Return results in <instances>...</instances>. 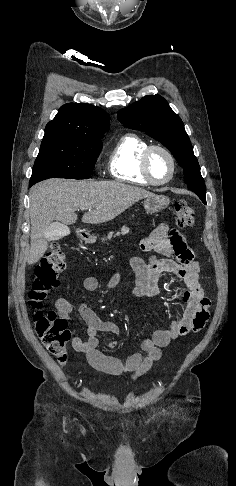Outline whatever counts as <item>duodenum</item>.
Listing matches in <instances>:
<instances>
[{"label":"duodenum","instance_id":"410a0bca","mask_svg":"<svg viewBox=\"0 0 236 486\" xmlns=\"http://www.w3.org/2000/svg\"><path fill=\"white\" fill-rule=\"evenodd\" d=\"M79 236L81 237V239L86 240V236H85V234H83V233H79Z\"/></svg>","mask_w":236,"mask_h":486}]
</instances>
